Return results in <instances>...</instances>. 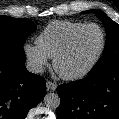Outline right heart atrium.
Returning a JSON list of instances; mask_svg holds the SVG:
<instances>
[{"label": "right heart atrium", "mask_w": 119, "mask_h": 119, "mask_svg": "<svg viewBox=\"0 0 119 119\" xmlns=\"http://www.w3.org/2000/svg\"><path fill=\"white\" fill-rule=\"evenodd\" d=\"M23 49L34 71L40 72L48 64L49 57L37 45L25 44Z\"/></svg>", "instance_id": "obj_1"}]
</instances>
